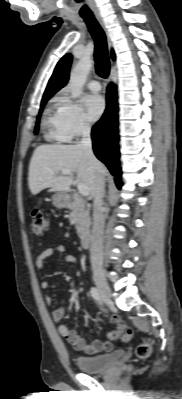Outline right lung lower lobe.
Returning <instances> with one entry per match:
<instances>
[{
    "mask_svg": "<svg viewBox=\"0 0 182 399\" xmlns=\"http://www.w3.org/2000/svg\"><path fill=\"white\" fill-rule=\"evenodd\" d=\"M118 107L117 92L114 84L107 87V107L102 118L92 128L93 150L115 176L118 188H121V168L118 150Z\"/></svg>",
    "mask_w": 182,
    "mask_h": 399,
    "instance_id": "obj_1",
    "label": "right lung lower lobe"
}]
</instances>
